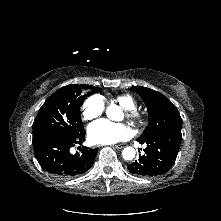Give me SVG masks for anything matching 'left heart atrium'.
Segmentation results:
<instances>
[{
	"mask_svg": "<svg viewBox=\"0 0 221 221\" xmlns=\"http://www.w3.org/2000/svg\"><path fill=\"white\" fill-rule=\"evenodd\" d=\"M129 129L121 123L99 120L88 127V138L93 144H114L126 139Z\"/></svg>",
	"mask_w": 221,
	"mask_h": 221,
	"instance_id": "obj_1",
	"label": "left heart atrium"
}]
</instances>
